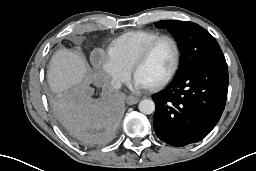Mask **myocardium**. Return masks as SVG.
<instances>
[{"label": "myocardium", "mask_w": 256, "mask_h": 171, "mask_svg": "<svg viewBox=\"0 0 256 171\" xmlns=\"http://www.w3.org/2000/svg\"><path fill=\"white\" fill-rule=\"evenodd\" d=\"M163 40H168V41H170L172 43L173 48H174V62H173V66H172V69L170 70L169 74L162 81L147 87V88H149L151 90H159V89L164 88L175 77V75H176V73H177V71L179 69L180 59H181V52H180V47H179L178 42L172 36H169V35H160V36L156 37L155 39L150 41L141 50V52L135 58V60L132 63V66H131V73L135 77V74H136V71L138 70V68L148 59V57L151 54V52L154 49V47L159 42H161Z\"/></svg>", "instance_id": "1"}]
</instances>
